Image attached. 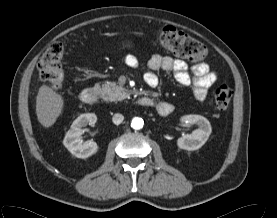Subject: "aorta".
<instances>
[{"label":"aorta","mask_w":277,"mask_h":218,"mask_svg":"<svg viewBox=\"0 0 277 218\" xmlns=\"http://www.w3.org/2000/svg\"><path fill=\"white\" fill-rule=\"evenodd\" d=\"M144 125V121L142 118H139V117H135L132 119V122H131V127L135 130H139L143 127Z\"/></svg>","instance_id":"1"}]
</instances>
